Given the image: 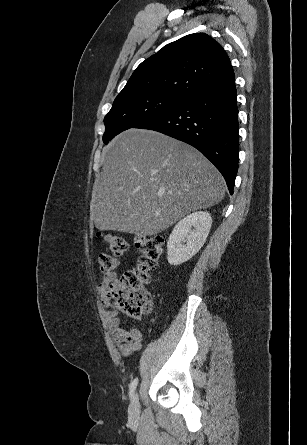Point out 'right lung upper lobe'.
I'll return each instance as SVG.
<instances>
[{
	"instance_id": "cb5924a9",
	"label": "right lung upper lobe",
	"mask_w": 307,
	"mask_h": 445,
	"mask_svg": "<svg viewBox=\"0 0 307 445\" xmlns=\"http://www.w3.org/2000/svg\"><path fill=\"white\" fill-rule=\"evenodd\" d=\"M232 73L221 45L205 33H196L166 45L142 62L119 95L187 97Z\"/></svg>"
}]
</instances>
